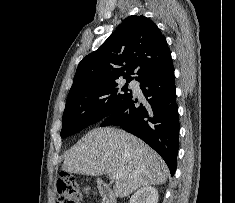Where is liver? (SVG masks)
<instances>
[{"mask_svg": "<svg viewBox=\"0 0 235 203\" xmlns=\"http://www.w3.org/2000/svg\"><path fill=\"white\" fill-rule=\"evenodd\" d=\"M62 170L91 176L119 172L114 193L123 198L150 185L166 182L164 160L136 136L116 128H95L66 154Z\"/></svg>", "mask_w": 235, "mask_h": 203, "instance_id": "6515ba94", "label": "liver"}]
</instances>
